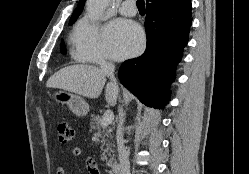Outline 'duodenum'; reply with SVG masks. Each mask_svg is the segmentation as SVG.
Returning <instances> with one entry per match:
<instances>
[{
  "label": "duodenum",
  "mask_w": 249,
  "mask_h": 174,
  "mask_svg": "<svg viewBox=\"0 0 249 174\" xmlns=\"http://www.w3.org/2000/svg\"><path fill=\"white\" fill-rule=\"evenodd\" d=\"M111 170H112L113 174H120L121 167H120V165L118 163H113L111 165Z\"/></svg>",
  "instance_id": "410a0bca"
}]
</instances>
